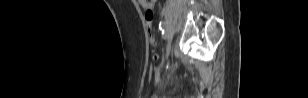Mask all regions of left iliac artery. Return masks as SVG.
I'll use <instances>...</instances> for the list:
<instances>
[{"label":"left iliac artery","mask_w":308,"mask_h":98,"mask_svg":"<svg viewBox=\"0 0 308 98\" xmlns=\"http://www.w3.org/2000/svg\"><path fill=\"white\" fill-rule=\"evenodd\" d=\"M159 29L162 31V33H164L166 30V22L160 23Z\"/></svg>","instance_id":"obj_1"}]
</instances>
